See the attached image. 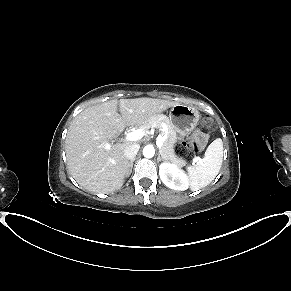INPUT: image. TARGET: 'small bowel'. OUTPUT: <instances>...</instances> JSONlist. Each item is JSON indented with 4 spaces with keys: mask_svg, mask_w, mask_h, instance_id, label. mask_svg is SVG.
I'll use <instances>...</instances> for the list:
<instances>
[{
    "mask_svg": "<svg viewBox=\"0 0 291 291\" xmlns=\"http://www.w3.org/2000/svg\"><path fill=\"white\" fill-rule=\"evenodd\" d=\"M198 139H199V142L202 143L203 142V138L201 135H198Z\"/></svg>",
    "mask_w": 291,
    "mask_h": 291,
    "instance_id": "obj_1",
    "label": "small bowel"
}]
</instances>
